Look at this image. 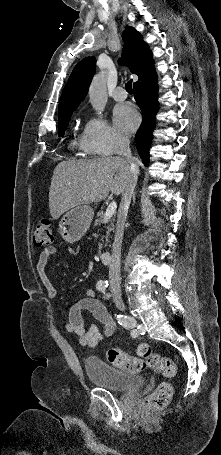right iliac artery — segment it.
<instances>
[{
	"label": "right iliac artery",
	"mask_w": 221,
	"mask_h": 455,
	"mask_svg": "<svg viewBox=\"0 0 221 455\" xmlns=\"http://www.w3.org/2000/svg\"><path fill=\"white\" fill-rule=\"evenodd\" d=\"M107 287H108V284L104 283V282H98L96 284V288L105 293L107 291ZM116 318L118 319V323L123 325L124 329L128 330L129 332H131V334L133 335V337H139V332H138V329L135 328L134 325H132V323L126 318V316H123L121 314H115Z\"/></svg>",
	"instance_id": "1"
}]
</instances>
